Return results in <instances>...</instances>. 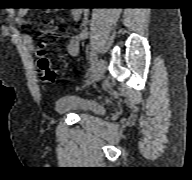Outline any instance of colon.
<instances>
[{
    "label": "colon",
    "instance_id": "5ec220e1",
    "mask_svg": "<svg viewBox=\"0 0 192 180\" xmlns=\"http://www.w3.org/2000/svg\"><path fill=\"white\" fill-rule=\"evenodd\" d=\"M37 68L43 75L47 82H54L56 80V73L52 68L49 58L46 56L43 45L36 49Z\"/></svg>",
    "mask_w": 192,
    "mask_h": 180
}]
</instances>
